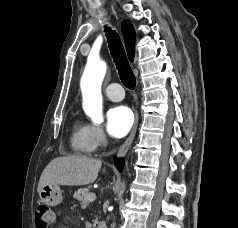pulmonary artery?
Here are the masks:
<instances>
[{
    "label": "pulmonary artery",
    "mask_w": 238,
    "mask_h": 228,
    "mask_svg": "<svg viewBox=\"0 0 238 228\" xmlns=\"http://www.w3.org/2000/svg\"><path fill=\"white\" fill-rule=\"evenodd\" d=\"M107 97L113 101H120L124 98V91L120 84L112 83L105 89Z\"/></svg>",
    "instance_id": "1"
}]
</instances>
